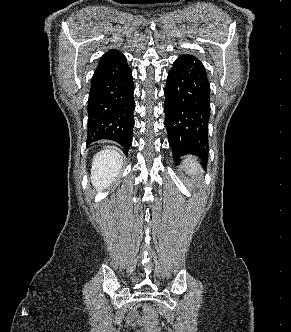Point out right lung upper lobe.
<instances>
[{
    "label": "right lung upper lobe",
    "mask_w": 291,
    "mask_h": 332,
    "mask_svg": "<svg viewBox=\"0 0 291 332\" xmlns=\"http://www.w3.org/2000/svg\"><path fill=\"white\" fill-rule=\"evenodd\" d=\"M124 57L119 51L117 50H110L109 52L105 53L100 62L115 60Z\"/></svg>",
    "instance_id": "right-lung-upper-lobe-1"
}]
</instances>
